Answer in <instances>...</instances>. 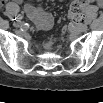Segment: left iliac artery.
<instances>
[{"label": "left iliac artery", "instance_id": "obj_1", "mask_svg": "<svg viewBox=\"0 0 103 103\" xmlns=\"http://www.w3.org/2000/svg\"><path fill=\"white\" fill-rule=\"evenodd\" d=\"M91 23V19L90 18H86L85 19V24H90Z\"/></svg>", "mask_w": 103, "mask_h": 103}]
</instances>
